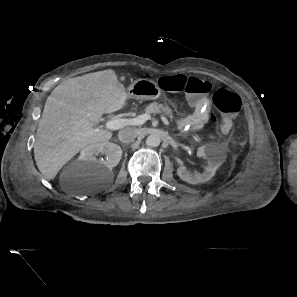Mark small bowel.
Listing matches in <instances>:
<instances>
[{"label":"small bowel","mask_w":297,"mask_h":297,"mask_svg":"<svg viewBox=\"0 0 297 297\" xmlns=\"http://www.w3.org/2000/svg\"><path fill=\"white\" fill-rule=\"evenodd\" d=\"M191 105L194 107V113L180 119L177 123L180 129L200 130L204 127L209 119L210 101L207 98L195 101L191 99Z\"/></svg>","instance_id":"obj_1"}]
</instances>
